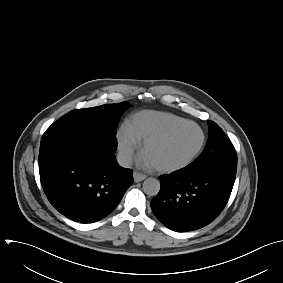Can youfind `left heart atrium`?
I'll use <instances>...</instances> for the list:
<instances>
[{
  "label": "left heart atrium",
  "mask_w": 283,
  "mask_h": 283,
  "mask_svg": "<svg viewBox=\"0 0 283 283\" xmlns=\"http://www.w3.org/2000/svg\"><path fill=\"white\" fill-rule=\"evenodd\" d=\"M140 161H141V164L146 167H153L152 163L149 161V159L145 155H142Z\"/></svg>",
  "instance_id": "obj_1"
}]
</instances>
